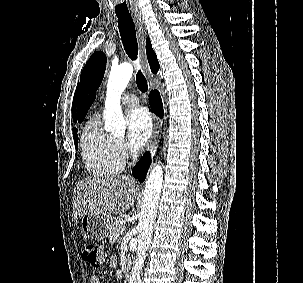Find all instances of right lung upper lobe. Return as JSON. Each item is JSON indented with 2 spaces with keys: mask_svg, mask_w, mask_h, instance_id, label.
I'll list each match as a JSON object with an SVG mask.
<instances>
[{
  "mask_svg": "<svg viewBox=\"0 0 303 283\" xmlns=\"http://www.w3.org/2000/svg\"><path fill=\"white\" fill-rule=\"evenodd\" d=\"M146 53H147V58H148L152 72L157 73V71L159 69V63H158L156 54L152 49L150 40L148 38L146 40ZM76 93H77V90L75 92L73 103H72V116H73L74 122H76V113H75ZM73 129H75V128H73Z\"/></svg>",
  "mask_w": 303,
  "mask_h": 283,
  "instance_id": "obj_1",
  "label": "right lung upper lobe"
}]
</instances>
